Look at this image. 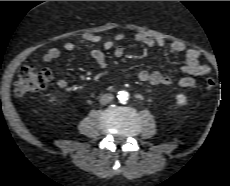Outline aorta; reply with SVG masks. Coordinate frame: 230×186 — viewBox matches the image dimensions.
<instances>
[{"mask_svg": "<svg viewBox=\"0 0 230 186\" xmlns=\"http://www.w3.org/2000/svg\"><path fill=\"white\" fill-rule=\"evenodd\" d=\"M117 97L120 101H127L129 99V94L126 91H119Z\"/></svg>", "mask_w": 230, "mask_h": 186, "instance_id": "aorta-1", "label": "aorta"}]
</instances>
